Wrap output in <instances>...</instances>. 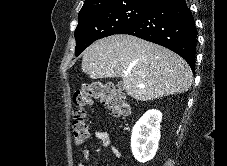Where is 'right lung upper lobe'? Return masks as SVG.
<instances>
[{"label":"right lung upper lobe","instance_id":"cb5924a9","mask_svg":"<svg viewBox=\"0 0 227 166\" xmlns=\"http://www.w3.org/2000/svg\"><path fill=\"white\" fill-rule=\"evenodd\" d=\"M158 1L159 0H85L84 5L80 10L79 14L95 11L112 5H119L131 2H137L153 6Z\"/></svg>","mask_w":227,"mask_h":166}]
</instances>
